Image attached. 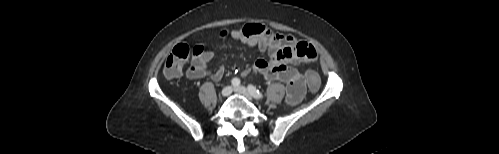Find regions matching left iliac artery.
Segmentation results:
<instances>
[{"label":"left iliac artery","mask_w":499,"mask_h":154,"mask_svg":"<svg viewBox=\"0 0 499 154\" xmlns=\"http://www.w3.org/2000/svg\"><path fill=\"white\" fill-rule=\"evenodd\" d=\"M248 91L257 99H262L264 97V95L253 85L248 86Z\"/></svg>","instance_id":"left-iliac-artery-1"}]
</instances>
